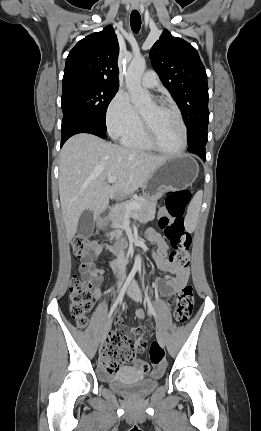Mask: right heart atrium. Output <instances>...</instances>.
Masks as SVG:
<instances>
[{
    "label": "right heart atrium",
    "mask_w": 261,
    "mask_h": 431,
    "mask_svg": "<svg viewBox=\"0 0 261 431\" xmlns=\"http://www.w3.org/2000/svg\"><path fill=\"white\" fill-rule=\"evenodd\" d=\"M140 124L138 113L133 108L125 91H118L106 110V125L110 135L123 138Z\"/></svg>",
    "instance_id": "d8ad5b80"
}]
</instances>
